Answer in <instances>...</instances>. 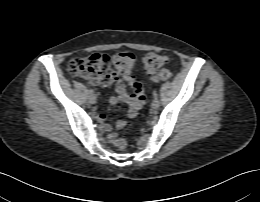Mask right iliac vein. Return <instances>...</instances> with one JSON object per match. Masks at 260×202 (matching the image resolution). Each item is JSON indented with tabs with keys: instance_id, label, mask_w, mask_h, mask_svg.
Listing matches in <instances>:
<instances>
[{
	"instance_id": "1",
	"label": "right iliac vein",
	"mask_w": 260,
	"mask_h": 202,
	"mask_svg": "<svg viewBox=\"0 0 260 202\" xmlns=\"http://www.w3.org/2000/svg\"><path fill=\"white\" fill-rule=\"evenodd\" d=\"M89 102H90L91 104H94V103L96 102V97H95L94 95H90V96H89Z\"/></svg>"
}]
</instances>
